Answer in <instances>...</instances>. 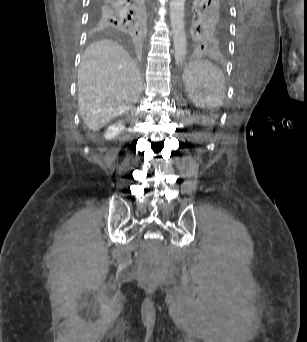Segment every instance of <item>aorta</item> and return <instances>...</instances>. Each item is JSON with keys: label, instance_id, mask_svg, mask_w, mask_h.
Segmentation results:
<instances>
[{"label": "aorta", "instance_id": "762f6f07", "mask_svg": "<svg viewBox=\"0 0 307 342\" xmlns=\"http://www.w3.org/2000/svg\"><path fill=\"white\" fill-rule=\"evenodd\" d=\"M185 0H170V22L174 42V58L176 64L185 60L187 54V40L184 28Z\"/></svg>", "mask_w": 307, "mask_h": 342}]
</instances>
